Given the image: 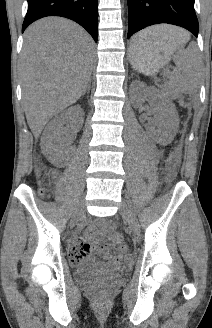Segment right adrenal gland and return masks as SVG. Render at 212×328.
Wrapping results in <instances>:
<instances>
[{"label": "right adrenal gland", "instance_id": "obj_1", "mask_svg": "<svg viewBox=\"0 0 212 328\" xmlns=\"http://www.w3.org/2000/svg\"><path fill=\"white\" fill-rule=\"evenodd\" d=\"M90 88H91V82L88 83L86 89H85L84 92H83V95H85L86 92L89 93V92H90Z\"/></svg>", "mask_w": 212, "mask_h": 328}]
</instances>
